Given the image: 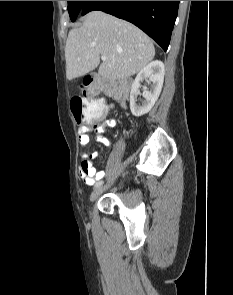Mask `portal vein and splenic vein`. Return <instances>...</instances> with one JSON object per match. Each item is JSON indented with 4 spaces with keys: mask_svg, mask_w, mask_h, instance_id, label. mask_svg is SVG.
I'll list each match as a JSON object with an SVG mask.
<instances>
[{
    "mask_svg": "<svg viewBox=\"0 0 233 295\" xmlns=\"http://www.w3.org/2000/svg\"><path fill=\"white\" fill-rule=\"evenodd\" d=\"M101 59H102V61H106V60H107V56L102 55V56H101Z\"/></svg>",
    "mask_w": 233,
    "mask_h": 295,
    "instance_id": "1",
    "label": "portal vein and splenic vein"
}]
</instances>
